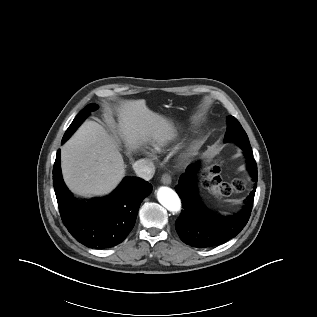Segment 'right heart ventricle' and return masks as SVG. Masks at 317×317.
Masks as SVG:
<instances>
[{
    "mask_svg": "<svg viewBox=\"0 0 317 317\" xmlns=\"http://www.w3.org/2000/svg\"><path fill=\"white\" fill-rule=\"evenodd\" d=\"M165 143H166V140H160L155 144V148L157 150H160L165 145Z\"/></svg>",
    "mask_w": 317,
    "mask_h": 317,
    "instance_id": "right-heart-ventricle-1",
    "label": "right heart ventricle"
}]
</instances>
